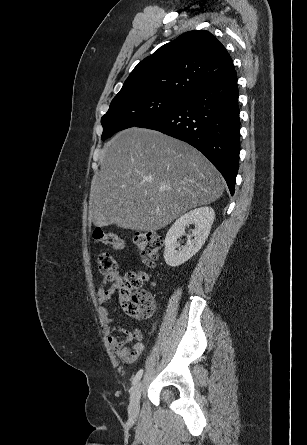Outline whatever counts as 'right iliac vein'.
I'll return each instance as SVG.
<instances>
[{
  "mask_svg": "<svg viewBox=\"0 0 307 445\" xmlns=\"http://www.w3.org/2000/svg\"><path fill=\"white\" fill-rule=\"evenodd\" d=\"M141 392L142 382H137L132 389L128 407V413L131 419H135L139 414Z\"/></svg>",
  "mask_w": 307,
  "mask_h": 445,
  "instance_id": "1",
  "label": "right iliac vein"
}]
</instances>
